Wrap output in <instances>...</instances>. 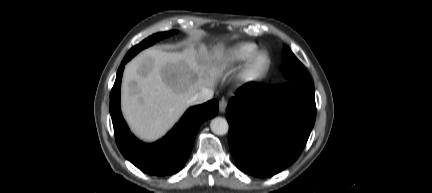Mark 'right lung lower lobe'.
Instances as JSON below:
<instances>
[{
  "instance_id": "obj_1",
  "label": "right lung lower lobe",
  "mask_w": 432,
  "mask_h": 193,
  "mask_svg": "<svg viewBox=\"0 0 432 193\" xmlns=\"http://www.w3.org/2000/svg\"><path fill=\"white\" fill-rule=\"evenodd\" d=\"M128 61V58L123 59L110 96V114L117 146L126 159L147 174H174L186 163L201 123L218 113V101L211 100L189 108L164 138L152 144H145L130 132L120 111L121 78Z\"/></svg>"
}]
</instances>
